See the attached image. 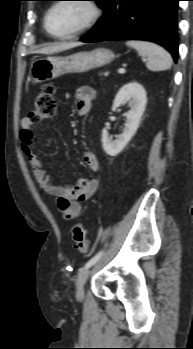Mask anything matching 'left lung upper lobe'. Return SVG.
<instances>
[{
    "label": "left lung upper lobe",
    "mask_w": 193,
    "mask_h": 349,
    "mask_svg": "<svg viewBox=\"0 0 193 349\" xmlns=\"http://www.w3.org/2000/svg\"><path fill=\"white\" fill-rule=\"evenodd\" d=\"M40 1H50V0H40ZM93 1H96L97 3H99L101 7L104 9L108 0H93Z\"/></svg>",
    "instance_id": "left-lung-upper-lobe-1"
}]
</instances>
